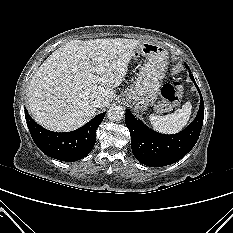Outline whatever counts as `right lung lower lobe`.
I'll return each mask as SVG.
<instances>
[{
    "mask_svg": "<svg viewBox=\"0 0 233 233\" xmlns=\"http://www.w3.org/2000/svg\"><path fill=\"white\" fill-rule=\"evenodd\" d=\"M105 113L97 115L77 130L62 133L43 128L30 117L26 109L25 118L35 144L43 153L57 160L73 162L91 152L96 141V130Z\"/></svg>",
    "mask_w": 233,
    "mask_h": 233,
    "instance_id": "obj_1",
    "label": "right lung lower lobe"
}]
</instances>
